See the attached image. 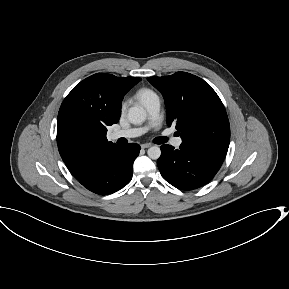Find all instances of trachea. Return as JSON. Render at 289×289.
<instances>
[{
    "label": "trachea",
    "instance_id": "obj_1",
    "mask_svg": "<svg viewBox=\"0 0 289 289\" xmlns=\"http://www.w3.org/2000/svg\"><path fill=\"white\" fill-rule=\"evenodd\" d=\"M167 140H168L167 137H160V138L158 139V142H159V144H163V143L167 142Z\"/></svg>",
    "mask_w": 289,
    "mask_h": 289
}]
</instances>
